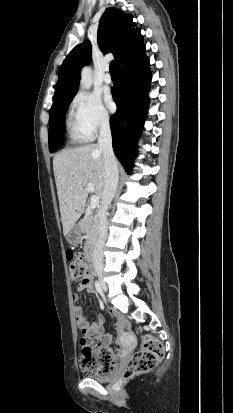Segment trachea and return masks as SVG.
<instances>
[{
  "instance_id": "obj_1",
  "label": "trachea",
  "mask_w": 233,
  "mask_h": 413,
  "mask_svg": "<svg viewBox=\"0 0 233 413\" xmlns=\"http://www.w3.org/2000/svg\"><path fill=\"white\" fill-rule=\"evenodd\" d=\"M110 73L111 74H116L117 72H116V64H115V61H111V63H110Z\"/></svg>"
}]
</instances>
